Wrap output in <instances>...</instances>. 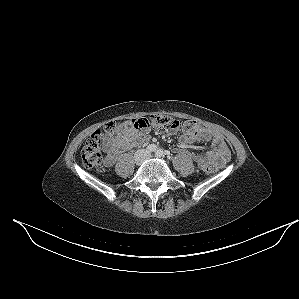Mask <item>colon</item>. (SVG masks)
Returning a JSON list of instances; mask_svg holds the SVG:
<instances>
[{"label": "colon", "instance_id": "colon-1", "mask_svg": "<svg viewBox=\"0 0 299 299\" xmlns=\"http://www.w3.org/2000/svg\"><path fill=\"white\" fill-rule=\"evenodd\" d=\"M125 127L137 131H147L150 128H165L175 132L180 128V122L165 115H151L127 122H109L96 130L82 148L81 160L83 166L88 169L97 167L102 162V148L118 139L122 129ZM182 128L188 136H195L199 132V126L194 121L185 122ZM202 170L207 174H212L217 171V167L214 164H206L202 167Z\"/></svg>", "mask_w": 299, "mask_h": 299}]
</instances>
